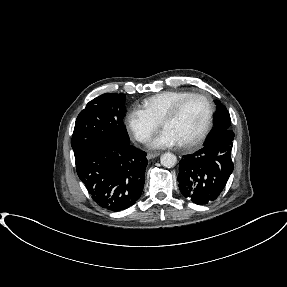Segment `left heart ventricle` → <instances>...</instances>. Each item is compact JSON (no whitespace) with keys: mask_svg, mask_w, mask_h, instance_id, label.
Returning <instances> with one entry per match:
<instances>
[{"mask_svg":"<svg viewBox=\"0 0 287 287\" xmlns=\"http://www.w3.org/2000/svg\"><path fill=\"white\" fill-rule=\"evenodd\" d=\"M206 113L205 102L199 98H192L185 103L175 118L163 122L162 127L171 130L180 143H183L200 133L205 124Z\"/></svg>","mask_w":287,"mask_h":287,"instance_id":"left-heart-ventricle-1","label":"left heart ventricle"}]
</instances>
